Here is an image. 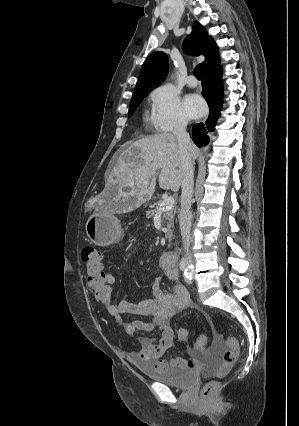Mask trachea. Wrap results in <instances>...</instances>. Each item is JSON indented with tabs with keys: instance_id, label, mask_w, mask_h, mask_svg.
Returning <instances> with one entry per match:
<instances>
[{
	"instance_id": "1",
	"label": "trachea",
	"mask_w": 299,
	"mask_h": 426,
	"mask_svg": "<svg viewBox=\"0 0 299 426\" xmlns=\"http://www.w3.org/2000/svg\"><path fill=\"white\" fill-rule=\"evenodd\" d=\"M194 75L196 76L197 79H201L202 78V66L200 64H198L195 68H194Z\"/></svg>"
}]
</instances>
